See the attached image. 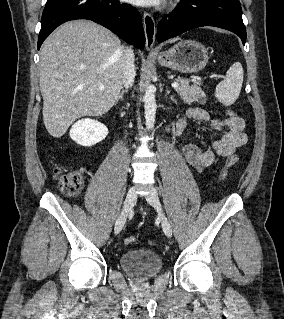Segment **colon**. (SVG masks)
<instances>
[{
  "mask_svg": "<svg viewBox=\"0 0 284 319\" xmlns=\"http://www.w3.org/2000/svg\"><path fill=\"white\" fill-rule=\"evenodd\" d=\"M228 118L236 117V113L233 110L227 111ZM238 162V157L236 155L230 156L225 164V167L221 173V181H225L230 173V170ZM58 186L61 191L67 196H76L82 189L83 178L81 173L77 171L73 172H63L61 168H56L55 170ZM136 241V237L130 236L125 239V244L131 245Z\"/></svg>",
  "mask_w": 284,
  "mask_h": 319,
  "instance_id": "5ec220e1",
  "label": "colon"
}]
</instances>
